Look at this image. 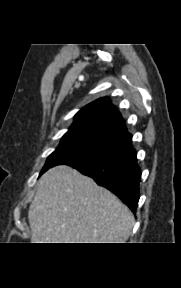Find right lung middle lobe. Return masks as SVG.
Masks as SVG:
<instances>
[{
    "mask_svg": "<svg viewBox=\"0 0 181 288\" xmlns=\"http://www.w3.org/2000/svg\"><path fill=\"white\" fill-rule=\"evenodd\" d=\"M112 156L114 155L109 150L85 141L62 140L58 148L48 157L40 175L56 165H68L77 161L98 160Z\"/></svg>",
    "mask_w": 181,
    "mask_h": 288,
    "instance_id": "obj_1",
    "label": "right lung middle lobe"
}]
</instances>
